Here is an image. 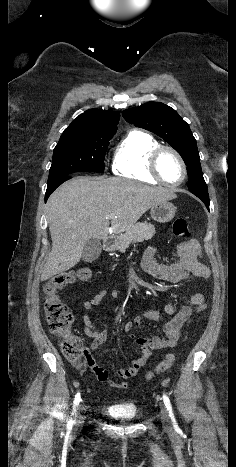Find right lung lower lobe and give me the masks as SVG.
I'll return each instance as SVG.
<instances>
[{
	"instance_id": "obj_1",
	"label": "right lung lower lobe",
	"mask_w": 236,
	"mask_h": 467,
	"mask_svg": "<svg viewBox=\"0 0 236 467\" xmlns=\"http://www.w3.org/2000/svg\"><path fill=\"white\" fill-rule=\"evenodd\" d=\"M71 176L68 175V176H64V177H61L53 182H48L47 184V190H46V194H45V201H47L48 197L50 196L51 193H53V191L59 186L61 185L63 182L67 181L68 179H70Z\"/></svg>"
}]
</instances>
